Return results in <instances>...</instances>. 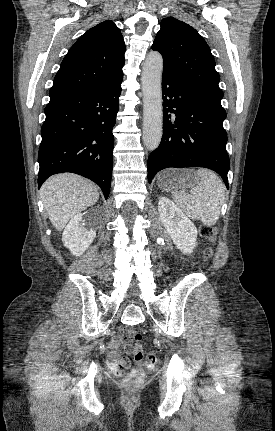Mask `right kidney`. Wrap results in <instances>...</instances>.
I'll return each mask as SVG.
<instances>
[{
    "label": "right kidney",
    "mask_w": 275,
    "mask_h": 431,
    "mask_svg": "<svg viewBox=\"0 0 275 431\" xmlns=\"http://www.w3.org/2000/svg\"><path fill=\"white\" fill-rule=\"evenodd\" d=\"M96 237V232L84 227L83 214H76L64 229L62 241L75 256L82 255Z\"/></svg>",
    "instance_id": "1"
}]
</instances>
